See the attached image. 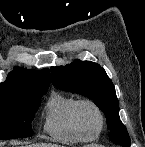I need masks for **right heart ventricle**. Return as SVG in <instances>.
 <instances>
[{
    "label": "right heart ventricle",
    "mask_w": 145,
    "mask_h": 147,
    "mask_svg": "<svg viewBox=\"0 0 145 147\" xmlns=\"http://www.w3.org/2000/svg\"><path fill=\"white\" fill-rule=\"evenodd\" d=\"M77 97L61 92L49 96L44 110V131L63 143L88 142L98 135L83 131L76 120Z\"/></svg>",
    "instance_id": "e07e8e85"
}]
</instances>
